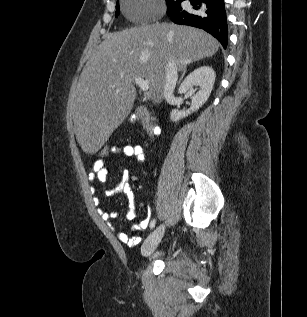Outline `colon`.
<instances>
[{
  "label": "colon",
  "instance_id": "colon-1",
  "mask_svg": "<svg viewBox=\"0 0 307 317\" xmlns=\"http://www.w3.org/2000/svg\"><path fill=\"white\" fill-rule=\"evenodd\" d=\"M116 145H102L97 152V160L102 162H108L112 155H114Z\"/></svg>",
  "mask_w": 307,
  "mask_h": 317
}]
</instances>
